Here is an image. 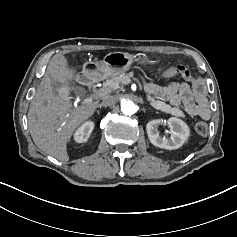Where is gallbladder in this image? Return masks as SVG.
<instances>
[{
  "label": "gallbladder",
  "instance_id": "bac80fb5",
  "mask_svg": "<svg viewBox=\"0 0 237 237\" xmlns=\"http://www.w3.org/2000/svg\"><path fill=\"white\" fill-rule=\"evenodd\" d=\"M58 97L60 98V99H67L68 97H69V90L67 89V88H60L59 90H58Z\"/></svg>",
  "mask_w": 237,
  "mask_h": 237
}]
</instances>
